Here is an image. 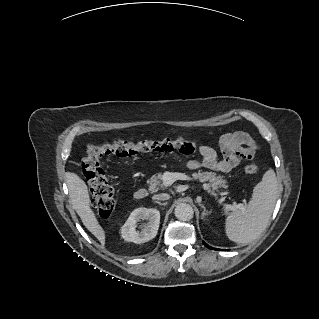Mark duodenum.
I'll use <instances>...</instances> for the list:
<instances>
[{"label":"duodenum","instance_id":"410a0bca","mask_svg":"<svg viewBox=\"0 0 319 319\" xmlns=\"http://www.w3.org/2000/svg\"><path fill=\"white\" fill-rule=\"evenodd\" d=\"M148 196V190L146 188H139L134 193L136 200H143Z\"/></svg>","mask_w":319,"mask_h":319}]
</instances>
